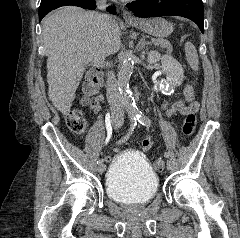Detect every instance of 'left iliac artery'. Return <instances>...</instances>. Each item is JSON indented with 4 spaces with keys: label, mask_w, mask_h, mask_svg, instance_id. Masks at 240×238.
Instances as JSON below:
<instances>
[{
    "label": "left iliac artery",
    "mask_w": 240,
    "mask_h": 238,
    "mask_svg": "<svg viewBox=\"0 0 240 238\" xmlns=\"http://www.w3.org/2000/svg\"><path fill=\"white\" fill-rule=\"evenodd\" d=\"M137 120L139 121L140 124L144 125V126H150L151 122L149 120L148 117H146L144 114H138L137 115ZM164 156L166 158H168L170 156V154L168 152L164 153Z\"/></svg>",
    "instance_id": "obj_1"
}]
</instances>
